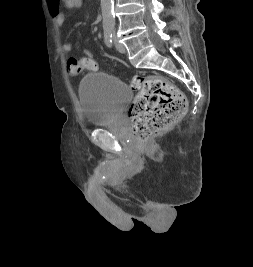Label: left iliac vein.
<instances>
[{"label":"left iliac vein","mask_w":253,"mask_h":267,"mask_svg":"<svg viewBox=\"0 0 253 267\" xmlns=\"http://www.w3.org/2000/svg\"><path fill=\"white\" fill-rule=\"evenodd\" d=\"M115 47L119 53H125V47L118 41L117 37L113 38Z\"/></svg>","instance_id":"obj_1"}]
</instances>
